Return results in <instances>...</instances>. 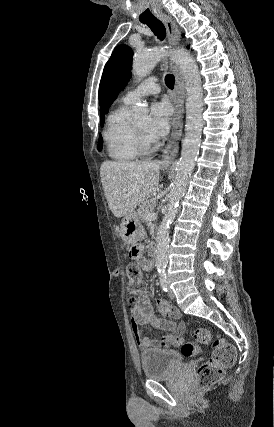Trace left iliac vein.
<instances>
[{"label": "left iliac vein", "instance_id": "left-iliac-vein-1", "mask_svg": "<svg viewBox=\"0 0 274 427\" xmlns=\"http://www.w3.org/2000/svg\"><path fill=\"white\" fill-rule=\"evenodd\" d=\"M169 297L171 298V299H174L175 298V294H174V292H173V290L170 288L169 289Z\"/></svg>", "mask_w": 274, "mask_h": 427}]
</instances>
